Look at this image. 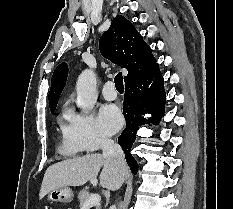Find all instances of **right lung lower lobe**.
<instances>
[{
  "instance_id": "right-lung-lower-lobe-1",
  "label": "right lung lower lobe",
  "mask_w": 233,
  "mask_h": 209,
  "mask_svg": "<svg viewBox=\"0 0 233 209\" xmlns=\"http://www.w3.org/2000/svg\"><path fill=\"white\" fill-rule=\"evenodd\" d=\"M163 76L159 66H155L145 76L132 81L125 87L123 114L126 120V128L118 138L126 161L131 171L136 174L138 164L130 153L136 139V131L143 124L149 122L157 125L164 114L166 93L164 90ZM152 115L148 120L142 115Z\"/></svg>"
}]
</instances>
